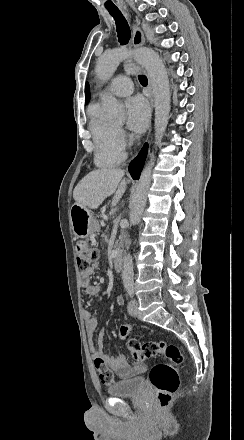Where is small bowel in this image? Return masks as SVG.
<instances>
[{
  "instance_id": "small-bowel-1",
  "label": "small bowel",
  "mask_w": 244,
  "mask_h": 440,
  "mask_svg": "<svg viewBox=\"0 0 244 440\" xmlns=\"http://www.w3.org/2000/svg\"><path fill=\"white\" fill-rule=\"evenodd\" d=\"M97 270V266H89L80 272V281L82 286L85 288V292L88 296H97L100 293V286L92 283V276ZM117 302L121 303L122 299L117 298ZM86 321V331L89 340V350L92 358L94 360L98 353L104 356L103 361L106 363L108 368L121 379H131L137 377L146 371L145 363H128L124 355H107L104 353V344L102 331L99 332L98 340L96 343L93 342V334L97 329L98 320L92 317L88 312L84 314Z\"/></svg>"
}]
</instances>
